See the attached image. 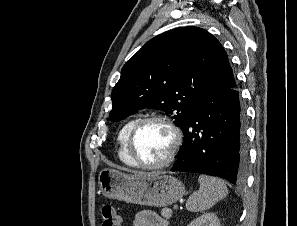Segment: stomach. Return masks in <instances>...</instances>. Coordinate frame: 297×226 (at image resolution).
<instances>
[{"label": "stomach", "mask_w": 297, "mask_h": 226, "mask_svg": "<svg viewBox=\"0 0 297 226\" xmlns=\"http://www.w3.org/2000/svg\"><path fill=\"white\" fill-rule=\"evenodd\" d=\"M98 184L107 198L145 206H167L186 193L180 180L166 174L135 176L104 169L99 173Z\"/></svg>", "instance_id": "0dacf381"}]
</instances>
